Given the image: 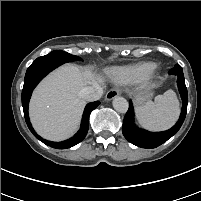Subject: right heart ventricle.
Here are the masks:
<instances>
[{
  "mask_svg": "<svg viewBox=\"0 0 201 201\" xmlns=\"http://www.w3.org/2000/svg\"><path fill=\"white\" fill-rule=\"evenodd\" d=\"M155 69L152 62H143L131 66L115 68L111 71V75L115 81L120 83H128L141 80L151 74Z\"/></svg>",
  "mask_w": 201,
  "mask_h": 201,
  "instance_id": "obj_1",
  "label": "right heart ventricle"
}]
</instances>
